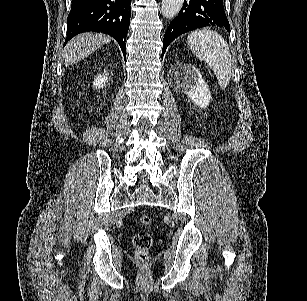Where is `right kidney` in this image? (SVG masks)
Instances as JSON below:
<instances>
[{
    "instance_id": "right-kidney-1",
    "label": "right kidney",
    "mask_w": 307,
    "mask_h": 301,
    "mask_svg": "<svg viewBox=\"0 0 307 301\" xmlns=\"http://www.w3.org/2000/svg\"><path fill=\"white\" fill-rule=\"evenodd\" d=\"M109 80V76H107V70H104L103 74H97L93 80L94 88H103L106 86Z\"/></svg>"
}]
</instances>
